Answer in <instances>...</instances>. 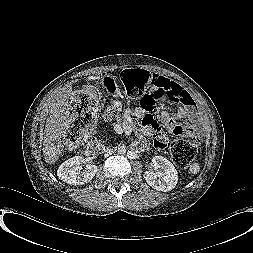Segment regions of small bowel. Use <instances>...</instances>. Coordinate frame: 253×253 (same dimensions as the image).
Returning <instances> with one entry per match:
<instances>
[{
	"label": "small bowel",
	"instance_id": "obj_1",
	"mask_svg": "<svg viewBox=\"0 0 253 253\" xmlns=\"http://www.w3.org/2000/svg\"><path fill=\"white\" fill-rule=\"evenodd\" d=\"M178 87L180 89V96L186 103L179 106L174 114L162 111L158 118L154 119L151 115L145 114L139 108L129 112V114L131 113L138 118L139 131L143 135L152 136L154 139V145L158 149L164 148L167 142L165 134L161 131V126L175 135H191L193 132L192 127L188 124H180L179 121L186 118H190L193 121L198 119V112L192 106V99L190 95L181 86L178 85ZM113 113L114 109L110 108L105 113V119L110 121L113 117Z\"/></svg>",
	"mask_w": 253,
	"mask_h": 253
}]
</instances>
